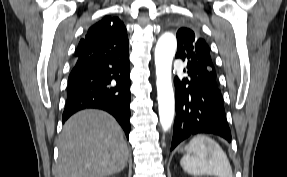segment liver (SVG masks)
<instances>
[{
	"label": "liver",
	"instance_id": "1",
	"mask_svg": "<svg viewBox=\"0 0 287 177\" xmlns=\"http://www.w3.org/2000/svg\"><path fill=\"white\" fill-rule=\"evenodd\" d=\"M57 177H106L124 169L128 147L116 120L100 110L70 117L59 137Z\"/></svg>",
	"mask_w": 287,
	"mask_h": 177
}]
</instances>
